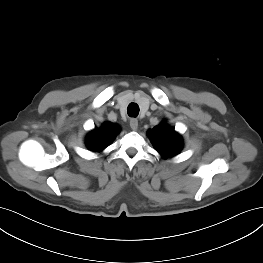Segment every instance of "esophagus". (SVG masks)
<instances>
[{"mask_svg": "<svg viewBox=\"0 0 263 263\" xmlns=\"http://www.w3.org/2000/svg\"><path fill=\"white\" fill-rule=\"evenodd\" d=\"M130 127L132 130L138 129V120L135 118L130 119Z\"/></svg>", "mask_w": 263, "mask_h": 263, "instance_id": "obj_1", "label": "esophagus"}]
</instances>
